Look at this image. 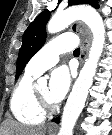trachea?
Returning <instances> with one entry per match:
<instances>
[{
    "label": "trachea",
    "mask_w": 112,
    "mask_h": 135,
    "mask_svg": "<svg viewBox=\"0 0 112 135\" xmlns=\"http://www.w3.org/2000/svg\"><path fill=\"white\" fill-rule=\"evenodd\" d=\"M73 53L74 54H79L80 53V48L75 49Z\"/></svg>",
    "instance_id": "trachea-1"
}]
</instances>
